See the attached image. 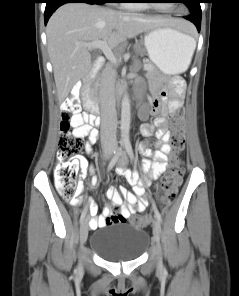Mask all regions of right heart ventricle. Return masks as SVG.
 <instances>
[{
  "label": "right heart ventricle",
  "instance_id": "e07e8e85",
  "mask_svg": "<svg viewBox=\"0 0 239 296\" xmlns=\"http://www.w3.org/2000/svg\"><path fill=\"white\" fill-rule=\"evenodd\" d=\"M119 7L127 9H140L141 5L139 3H132L130 0H122Z\"/></svg>",
  "mask_w": 239,
  "mask_h": 296
}]
</instances>
